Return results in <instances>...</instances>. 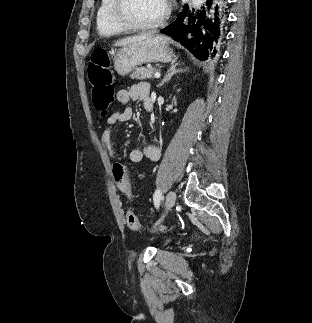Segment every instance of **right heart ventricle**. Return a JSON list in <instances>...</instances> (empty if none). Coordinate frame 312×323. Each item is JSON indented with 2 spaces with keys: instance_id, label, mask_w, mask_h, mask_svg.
Instances as JSON below:
<instances>
[{
  "instance_id": "e07e8e85",
  "label": "right heart ventricle",
  "mask_w": 312,
  "mask_h": 323,
  "mask_svg": "<svg viewBox=\"0 0 312 323\" xmlns=\"http://www.w3.org/2000/svg\"><path fill=\"white\" fill-rule=\"evenodd\" d=\"M97 13L95 24L97 29L103 33H119L120 29H126V22H119L115 13V3L111 0H100L96 2Z\"/></svg>"
}]
</instances>
